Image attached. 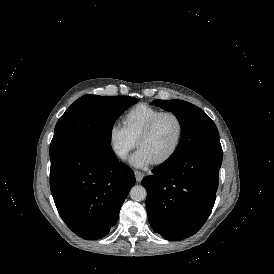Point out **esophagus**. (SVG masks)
I'll return each instance as SVG.
<instances>
[{"label":"esophagus","mask_w":274,"mask_h":274,"mask_svg":"<svg viewBox=\"0 0 274 274\" xmlns=\"http://www.w3.org/2000/svg\"><path fill=\"white\" fill-rule=\"evenodd\" d=\"M134 174H135V177H136V180L138 182H140L142 180V178L145 176V173L142 172V171H138V170H135L134 171Z\"/></svg>","instance_id":"1"}]
</instances>
